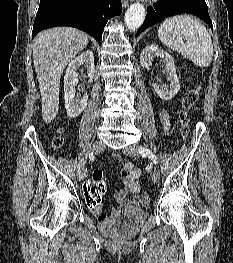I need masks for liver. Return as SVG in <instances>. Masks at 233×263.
<instances>
[{
  "label": "liver",
  "mask_w": 233,
  "mask_h": 263,
  "mask_svg": "<svg viewBox=\"0 0 233 263\" xmlns=\"http://www.w3.org/2000/svg\"><path fill=\"white\" fill-rule=\"evenodd\" d=\"M87 44L88 36L72 27H54L34 38L33 62L44 122H52L58 113L60 79L64 68Z\"/></svg>",
  "instance_id": "1"
}]
</instances>
